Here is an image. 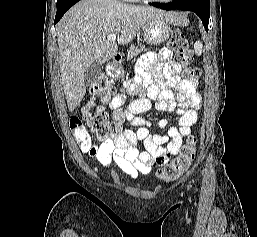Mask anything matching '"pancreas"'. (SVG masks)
Returning <instances> with one entry per match:
<instances>
[{"mask_svg": "<svg viewBox=\"0 0 257 237\" xmlns=\"http://www.w3.org/2000/svg\"><path fill=\"white\" fill-rule=\"evenodd\" d=\"M144 49V45H140L139 47L131 45L127 52V59H132L134 56H137L139 53H141Z\"/></svg>", "mask_w": 257, "mask_h": 237, "instance_id": "obj_1", "label": "pancreas"}]
</instances>
